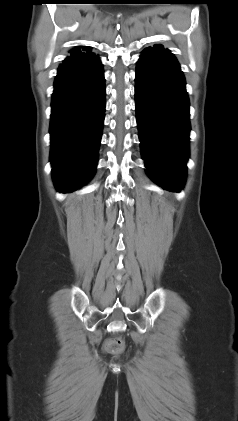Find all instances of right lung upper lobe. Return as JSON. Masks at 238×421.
I'll list each match as a JSON object with an SVG mask.
<instances>
[{"instance_id": "obj_1", "label": "right lung upper lobe", "mask_w": 238, "mask_h": 421, "mask_svg": "<svg viewBox=\"0 0 238 421\" xmlns=\"http://www.w3.org/2000/svg\"><path fill=\"white\" fill-rule=\"evenodd\" d=\"M85 52H91L89 47L82 46V47H76L75 49L71 50L70 53H85Z\"/></svg>"}]
</instances>
